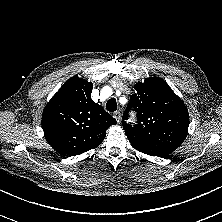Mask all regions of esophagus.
Wrapping results in <instances>:
<instances>
[{
    "mask_svg": "<svg viewBox=\"0 0 222 222\" xmlns=\"http://www.w3.org/2000/svg\"><path fill=\"white\" fill-rule=\"evenodd\" d=\"M113 117L116 119L117 123H120L121 120V113L120 111H116L113 113Z\"/></svg>",
    "mask_w": 222,
    "mask_h": 222,
    "instance_id": "esophagus-1",
    "label": "esophagus"
}]
</instances>
